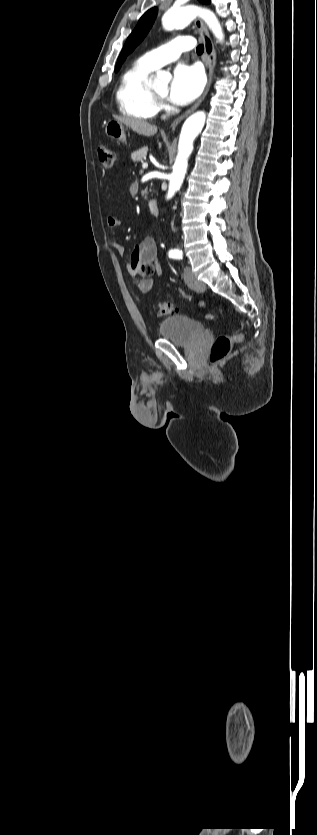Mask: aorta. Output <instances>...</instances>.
Masks as SVG:
<instances>
[{
  "label": "aorta",
  "mask_w": 317,
  "mask_h": 835,
  "mask_svg": "<svg viewBox=\"0 0 317 835\" xmlns=\"http://www.w3.org/2000/svg\"><path fill=\"white\" fill-rule=\"evenodd\" d=\"M197 16L205 21L219 42L224 41L221 25L216 15L210 10L190 5L171 7L163 13L161 20L165 29H174L180 25H188ZM170 79L171 75L169 73L158 72L153 78V84H156L159 80L168 82ZM205 122V113L199 111L188 117L182 126L178 153L169 178L167 199H171L183 183L188 168V159L193 151L194 140L204 128Z\"/></svg>",
  "instance_id": "762f6f07"
}]
</instances>
